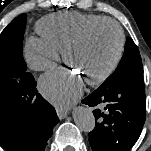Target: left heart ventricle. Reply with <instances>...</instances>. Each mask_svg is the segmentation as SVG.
Returning a JSON list of instances; mask_svg holds the SVG:
<instances>
[{
    "instance_id": "b2bd125f",
    "label": "left heart ventricle",
    "mask_w": 151,
    "mask_h": 151,
    "mask_svg": "<svg viewBox=\"0 0 151 151\" xmlns=\"http://www.w3.org/2000/svg\"><path fill=\"white\" fill-rule=\"evenodd\" d=\"M117 47L118 37L114 27H98L81 45L69 52V65L84 81L91 80L109 67Z\"/></svg>"
}]
</instances>
